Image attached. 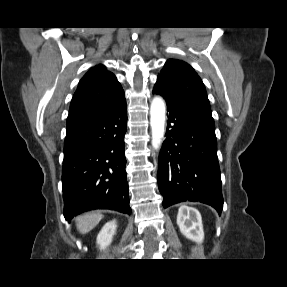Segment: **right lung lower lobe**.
<instances>
[{"label": "right lung lower lobe", "instance_id": "1", "mask_svg": "<svg viewBox=\"0 0 287 287\" xmlns=\"http://www.w3.org/2000/svg\"><path fill=\"white\" fill-rule=\"evenodd\" d=\"M126 127L125 100L111 112L67 123L62 169L66 220L94 209L131 213L123 141Z\"/></svg>", "mask_w": 287, "mask_h": 287}]
</instances>
